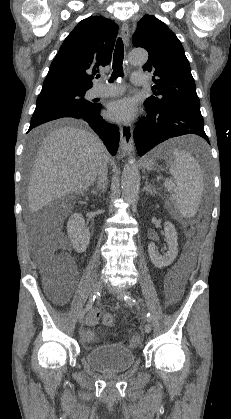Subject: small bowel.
Listing matches in <instances>:
<instances>
[{
	"label": "small bowel",
	"instance_id": "small-bowel-1",
	"mask_svg": "<svg viewBox=\"0 0 231 419\" xmlns=\"http://www.w3.org/2000/svg\"><path fill=\"white\" fill-rule=\"evenodd\" d=\"M75 282V273L74 277L69 282V287H71ZM166 289H167V298L166 303L167 305H172L177 302L179 296H180V289L178 287L177 281L175 278H168L166 280ZM62 299H65L62 297ZM101 312L99 310H92L90 314L87 316L84 326L81 329V337L82 341L85 346H89L91 342H93L95 334L94 331L91 330V327L96 325L98 323V320L100 318Z\"/></svg>",
	"mask_w": 231,
	"mask_h": 419
}]
</instances>
